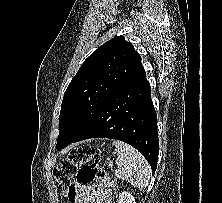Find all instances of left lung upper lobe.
Here are the masks:
<instances>
[{
  "instance_id": "1",
  "label": "left lung upper lobe",
  "mask_w": 222,
  "mask_h": 203,
  "mask_svg": "<svg viewBox=\"0 0 222 203\" xmlns=\"http://www.w3.org/2000/svg\"><path fill=\"white\" fill-rule=\"evenodd\" d=\"M140 63L141 56L124 36L107 41L84 61L64 93L57 149L84 130Z\"/></svg>"
}]
</instances>
